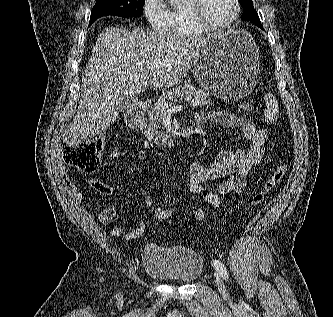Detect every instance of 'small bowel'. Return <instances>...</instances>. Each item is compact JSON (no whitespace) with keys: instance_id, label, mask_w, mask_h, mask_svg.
Wrapping results in <instances>:
<instances>
[{"instance_id":"1","label":"small bowel","mask_w":333,"mask_h":317,"mask_svg":"<svg viewBox=\"0 0 333 317\" xmlns=\"http://www.w3.org/2000/svg\"><path fill=\"white\" fill-rule=\"evenodd\" d=\"M195 120L198 124L214 122L225 128L236 130L243 140L242 144L224 147L211 161L194 162L190 167L189 191L199 197L194 208V218L197 221H203L206 217L203 203L219 208L223 198L228 194L244 193L250 171L261 162L264 156L267 133L264 128L257 127L250 119L228 111L200 112L196 114ZM211 182H216V186L210 188L208 184ZM90 184L101 194L111 195L113 192L109 185L96 177L90 179ZM67 188L73 202L76 204L82 202L83 193L76 185L69 182ZM127 190L141 195L145 210L153 208L152 198L145 195L139 187L130 186ZM115 214V207L107 205L98 213V220L102 224H108L114 219ZM146 229L144 220L140 219L134 230L124 234L122 228L116 226L110 234L115 238L123 236L126 240H133L142 236Z\"/></svg>"}]
</instances>
